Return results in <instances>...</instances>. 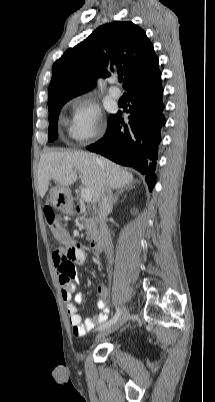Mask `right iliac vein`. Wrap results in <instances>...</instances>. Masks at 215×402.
I'll use <instances>...</instances> for the list:
<instances>
[{"instance_id":"63e3f726","label":"right iliac vein","mask_w":215,"mask_h":402,"mask_svg":"<svg viewBox=\"0 0 215 402\" xmlns=\"http://www.w3.org/2000/svg\"><path fill=\"white\" fill-rule=\"evenodd\" d=\"M128 318H129V311L124 310L123 313L121 314V316L119 317V319L115 323L100 330V332L97 335V339L104 338L105 336L116 331L119 327H121L128 320Z\"/></svg>"}]
</instances>
